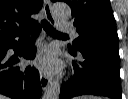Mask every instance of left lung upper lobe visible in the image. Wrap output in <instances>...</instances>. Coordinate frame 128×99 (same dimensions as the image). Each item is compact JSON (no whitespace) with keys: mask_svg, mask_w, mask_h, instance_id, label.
<instances>
[{"mask_svg":"<svg viewBox=\"0 0 128 99\" xmlns=\"http://www.w3.org/2000/svg\"><path fill=\"white\" fill-rule=\"evenodd\" d=\"M64 1L71 7L74 26L79 34L70 47L71 50L77 51L82 44L93 39H108L119 42L109 0Z\"/></svg>","mask_w":128,"mask_h":99,"instance_id":"5c2ea615","label":"left lung upper lobe"}]
</instances>
